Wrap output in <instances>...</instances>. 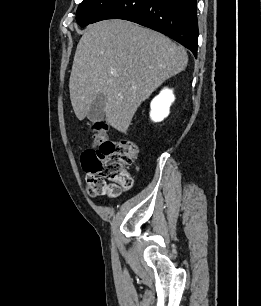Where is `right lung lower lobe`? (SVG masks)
<instances>
[{
	"label": "right lung lower lobe",
	"mask_w": 261,
	"mask_h": 306,
	"mask_svg": "<svg viewBox=\"0 0 261 306\" xmlns=\"http://www.w3.org/2000/svg\"><path fill=\"white\" fill-rule=\"evenodd\" d=\"M196 0H115L92 23L124 19L161 32L197 56Z\"/></svg>",
	"instance_id": "right-lung-lower-lobe-1"
}]
</instances>
